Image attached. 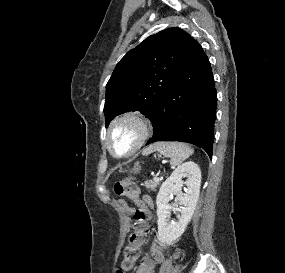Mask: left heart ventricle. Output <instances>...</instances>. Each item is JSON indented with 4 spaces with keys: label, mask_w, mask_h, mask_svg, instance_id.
<instances>
[{
    "label": "left heart ventricle",
    "mask_w": 285,
    "mask_h": 273,
    "mask_svg": "<svg viewBox=\"0 0 285 273\" xmlns=\"http://www.w3.org/2000/svg\"><path fill=\"white\" fill-rule=\"evenodd\" d=\"M138 127L133 122L119 124L112 136L111 145L117 154H124L131 149L138 138Z\"/></svg>",
    "instance_id": "b2bd125f"
}]
</instances>
